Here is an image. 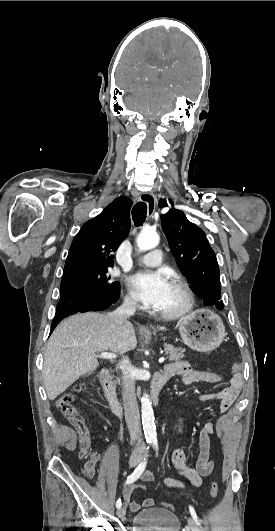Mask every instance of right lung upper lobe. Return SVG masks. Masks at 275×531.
Segmentation results:
<instances>
[{"label": "right lung upper lobe", "instance_id": "right-lung-upper-lobe-1", "mask_svg": "<svg viewBox=\"0 0 275 531\" xmlns=\"http://www.w3.org/2000/svg\"><path fill=\"white\" fill-rule=\"evenodd\" d=\"M132 201L116 198L98 216L87 221L73 239L64 272L81 267H109L113 252L130 230Z\"/></svg>", "mask_w": 275, "mask_h": 531}]
</instances>
